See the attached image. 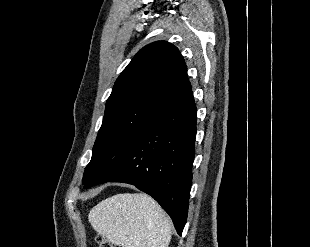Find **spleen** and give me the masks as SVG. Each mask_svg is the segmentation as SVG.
<instances>
[{"mask_svg": "<svg viewBox=\"0 0 310 247\" xmlns=\"http://www.w3.org/2000/svg\"><path fill=\"white\" fill-rule=\"evenodd\" d=\"M88 219L94 230L114 245L168 247L171 240L168 217L146 194H116L97 204Z\"/></svg>", "mask_w": 310, "mask_h": 247, "instance_id": "1", "label": "spleen"}]
</instances>
